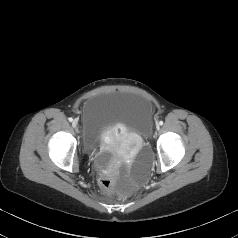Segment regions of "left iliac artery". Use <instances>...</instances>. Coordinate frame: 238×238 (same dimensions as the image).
I'll return each mask as SVG.
<instances>
[{
    "label": "left iliac artery",
    "instance_id": "left-iliac-artery-1",
    "mask_svg": "<svg viewBox=\"0 0 238 238\" xmlns=\"http://www.w3.org/2000/svg\"><path fill=\"white\" fill-rule=\"evenodd\" d=\"M159 125H163V121H160V122H159Z\"/></svg>",
    "mask_w": 238,
    "mask_h": 238
}]
</instances>
